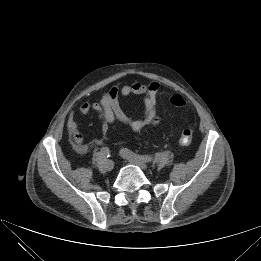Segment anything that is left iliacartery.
<instances>
[{
    "label": "left iliac artery",
    "instance_id": "obj_1",
    "mask_svg": "<svg viewBox=\"0 0 261 261\" xmlns=\"http://www.w3.org/2000/svg\"><path fill=\"white\" fill-rule=\"evenodd\" d=\"M122 152L130 158L140 159L143 160L144 162H150L152 160V156L150 155H142V154L134 153L133 151L127 148L122 149Z\"/></svg>",
    "mask_w": 261,
    "mask_h": 261
}]
</instances>
